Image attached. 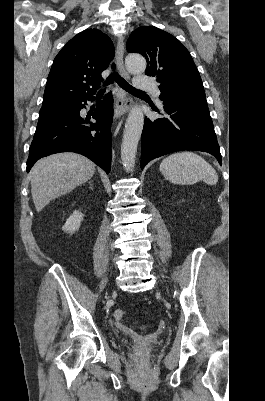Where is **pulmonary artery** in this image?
I'll return each mask as SVG.
<instances>
[{"label":"pulmonary artery","mask_w":265,"mask_h":401,"mask_svg":"<svg viewBox=\"0 0 265 401\" xmlns=\"http://www.w3.org/2000/svg\"><path fill=\"white\" fill-rule=\"evenodd\" d=\"M137 81V88L139 90H155L154 95L156 96V98H159L160 90L156 88L155 81H151L150 75H139Z\"/></svg>","instance_id":"e3ab8cb5"}]
</instances>
